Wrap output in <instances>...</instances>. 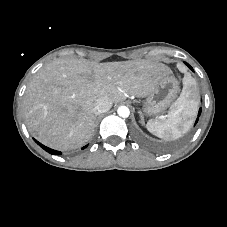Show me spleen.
<instances>
[{"label":"spleen","instance_id":"spleen-1","mask_svg":"<svg viewBox=\"0 0 227 227\" xmlns=\"http://www.w3.org/2000/svg\"><path fill=\"white\" fill-rule=\"evenodd\" d=\"M193 86L194 80L191 77H185L182 93L170 108L167 118L162 121L149 120L147 122L146 127L150 133L172 141L189 130L198 107L197 100L190 99Z\"/></svg>","mask_w":227,"mask_h":227}]
</instances>
